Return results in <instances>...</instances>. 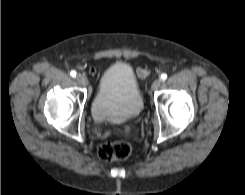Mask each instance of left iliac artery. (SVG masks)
<instances>
[{
  "mask_svg": "<svg viewBox=\"0 0 245 195\" xmlns=\"http://www.w3.org/2000/svg\"><path fill=\"white\" fill-rule=\"evenodd\" d=\"M160 78H161L162 81L166 80L167 79V74L163 73Z\"/></svg>",
  "mask_w": 245,
  "mask_h": 195,
  "instance_id": "obj_1",
  "label": "left iliac artery"
}]
</instances>
